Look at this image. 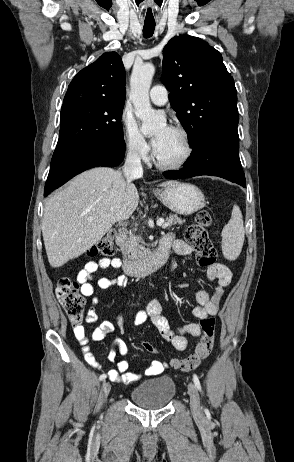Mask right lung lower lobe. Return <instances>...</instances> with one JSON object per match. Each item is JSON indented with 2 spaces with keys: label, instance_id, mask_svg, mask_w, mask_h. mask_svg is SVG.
<instances>
[{
  "label": "right lung lower lobe",
  "instance_id": "right-lung-lower-lobe-1",
  "mask_svg": "<svg viewBox=\"0 0 294 462\" xmlns=\"http://www.w3.org/2000/svg\"><path fill=\"white\" fill-rule=\"evenodd\" d=\"M123 139L74 141L56 147L52 156L44 196L62 186L75 175L96 166H118L124 159Z\"/></svg>",
  "mask_w": 294,
  "mask_h": 462
}]
</instances>
